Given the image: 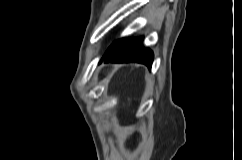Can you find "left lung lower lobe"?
<instances>
[{"label":"left lung lower lobe","instance_id":"1","mask_svg":"<svg viewBox=\"0 0 242 160\" xmlns=\"http://www.w3.org/2000/svg\"><path fill=\"white\" fill-rule=\"evenodd\" d=\"M142 39V37L135 39L121 38L113 42L103 55L100 63L102 61L106 63L138 62L151 68L153 52L143 48L141 45Z\"/></svg>","mask_w":242,"mask_h":160}]
</instances>
